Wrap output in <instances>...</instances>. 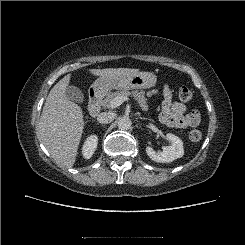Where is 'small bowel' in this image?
<instances>
[{"label":"small bowel","mask_w":245,"mask_h":245,"mask_svg":"<svg viewBox=\"0 0 245 245\" xmlns=\"http://www.w3.org/2000/svg\"><path fill=\"white\" fill-rule=\"evenodd\" d=\"M155 93L156 91H149L147 96ZM162 95L160 118L164 124L176 128H190L200 123L201 116L199 111L192 110L188 112L184 103L173 101L172 91L166 84L162 88Z\"/></svg>","instance_id":"c3829d8e"}]
</instances>
